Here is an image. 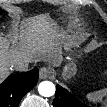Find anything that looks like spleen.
<instances>
[{"mask_svg": "<svg viewBox=\"0 0 107 107\" xmlns=\"http://www.w3.org/2000/svg\"><path fill=\"white\" fill-rule=\"evenodd\" d=\"M99 96H100V92H92L87 95V98L92 100V99L98 98Z\"/></svg>", "mask_w": 107, "mask_h": 107, "instance_id": "obj_1", "label": "spleen"}]
</instances>
